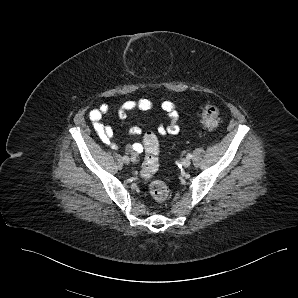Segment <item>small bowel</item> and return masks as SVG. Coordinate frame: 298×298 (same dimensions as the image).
<instances>
[{
    "mask_svg": "<svg viewBox=\"0 0 298 298\" xmlns=\"http://www.w3.org/2000/svg\"><path fill=\"white\" fill-rule=\"evenodd\" d=\"M153 108V102L149 99L142 98L138 100H129L124 102L119 110L118 115L121 119H125L131 111L140 110L148 111ZM161 109L167 114L170 119L168 125L160 124L157 132L160 136L178 135L182 131L181 116L176 106L171 101H163ZM109 105L106 103L100 104L98 107L92 109L89 113V118L94 131L97 133L100 140L112 149H117L118 144L113 140L114 131L110 126L102 122L103 116L109 113ZM142 129L139 126H132L129 129V134L140 135ZM128 151L131 153L139 154L143 151L141 143L136 142L128 146Z\"/></svg>",
    "mask_w": 298,
    "mask_h": 298,
    "instance_id": "small-bowel-1",
    "label": "small bowel"
}]
</instances>
